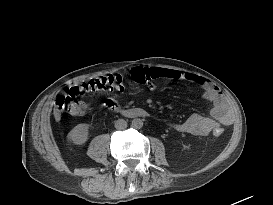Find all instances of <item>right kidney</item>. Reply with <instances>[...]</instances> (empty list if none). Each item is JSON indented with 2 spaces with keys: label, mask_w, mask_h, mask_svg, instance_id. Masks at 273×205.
Wrapping results in <instances>:
<instances>
[{
  "label": "right kidney",
  "mask_w": 273,
  "mask_h": 205,
  "mask_svg": "<svg viewBox=\"0 0 273 205\" xmlns=\"http://www.w3.org/2000/svg\"><path fill=\"white\" fill-rule=\"evenodd\" d=\"M71 137L75 144H83L88 139V125L79 124L71 131Z\"/></svg>",
  "instance_id": "obj_1"
}]
</instances>
